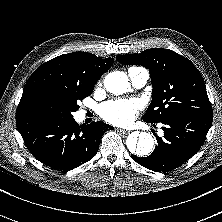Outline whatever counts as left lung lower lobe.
<instances>
[{
  "mask_svg": "<svg viewBox=\"0 0 222 222\" xmlns=\"http://www.w3.org/2000/svg\"><path fill=\"white\" fill-rule=\"evenodd\" d=\"M213 115L184 113L173 115L161 123L164 138L157 137V146L147 157L132 155L141 166L155 171L168 172L184 164L195 155L203 145Z\"/></svg>",
  "mask_w": 222,
  "mask_h": 222,
  "instance_id": "0a47b994",
  "label": "left lung lower lobe"
}]
</instances>
